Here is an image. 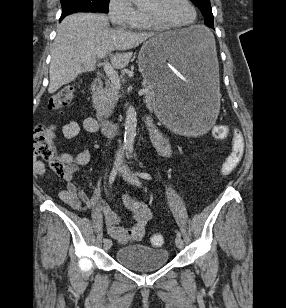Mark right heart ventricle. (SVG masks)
<instances>
[{
	"label": "right heart ventricle",
	"mask_w": 286,
	"mask_h": 308,
	"mask_svg": "<svg viewBox=\"0 0 286 308\" xmlns=\"http://www.w3.org/2000/svg\"><path fill=\"white\" fill-rule=\"evenodd\" d=\"M134 29H137V30H159L158 28L153 26L151 23H149L145 16L142 17L140 23Z\"/></svg>",
	"instance_id": "obj_1"
}]
</instances>
